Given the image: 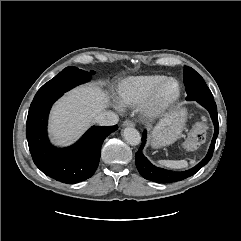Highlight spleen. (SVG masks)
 <instances>
[{
	"label": "spleen",
	"mask_w": 241,
	"mask_h": 241,
	"mask_svg": "<svg viewBox=\"0 0 241 241\" xmlns=\"http://www.w3.org/2000/svg\"><path fill=\"white\" fill-rule=\"evenodd\" d=\"M195 160H191L190 163L193 164ZM158 163L162 166L172 168V169H181L188 166L186 160H159Z\"/></svg>",
	"instance_id": "obj_1"
}]
</instances>
